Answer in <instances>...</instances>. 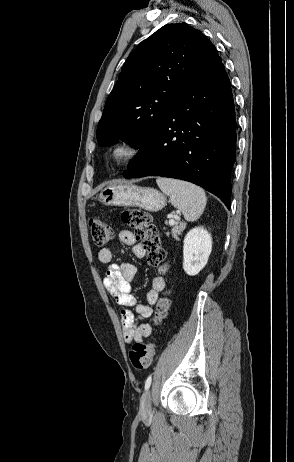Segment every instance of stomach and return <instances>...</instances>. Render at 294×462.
<instances>
[{"label":"stomach","instance_id":"0dacf381","mask_svg":"<svg viewBox=\"0 0 294 462\" xmlns=\"http://www.w3.org/2000/svg\"><path fill=\"white\" fill-rule=\"evenodd\" d=\"M99 201L106 206H135L157 212L166 206V197L156 189L133 184H118L105 187Z\"/></svg>","mask_w":294,"mask_h":462}]
</instances>
